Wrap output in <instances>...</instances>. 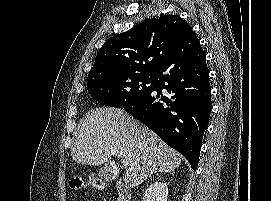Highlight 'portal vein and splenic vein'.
Listing matches in <instances>:
<instances>
[{
    "instance_id": "1",
    "label": "portal vein and splenic vein",
    "mask_w": 271,
    "mask_h": 201,
    "mask_svg": "<svg viewBox=\"0 0 271 201\" xmlns=\"http://www.w3.org/2000/svg\"><path fill=\"white\" fill-rule=\"evenodd\" d=\"M122 163L124 166H128L130 163V160L128 158H124Z\"/></svg>"
}]
</instances>
